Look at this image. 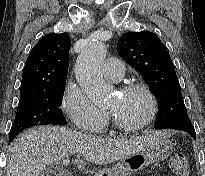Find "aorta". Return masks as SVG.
<instances>
[{
	"label": "aorta",
	"instance_id": "aorta-1",
	"mask_svg": "<svg viewBox=\"0 0 205 176\" xmlns=\"http://www.w3.org/2000/svg\"><path fill=\"white\" fill-rule=\"evenodd\" d=\"M105 57V44L91 42L80 53L75 64L77 82L95 103L104 102L110 94V87L102 76V64Z\"/></svg>",
	"mask_w": 205,
	"mask_h": 176
}]
</instances>
